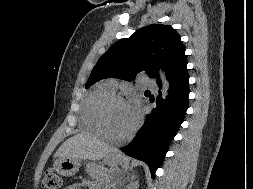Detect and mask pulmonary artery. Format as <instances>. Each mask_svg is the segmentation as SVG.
<instances>
[{"mask_svg": "<svg viewBox=\"0 0 253 189\" xmlns=\"http://www.w3.org/2000/svg\"><path fill=\"white\" fill-rule=\"evenodd\" d=\"M143 82H144V85L148 88H155L156 87V83L153 79H150L148 77H144L143 78ZM108 85L113 89L115 90V88L117 87V82L112 80V81H109L108 82Z\"/></svg>", "mask_w": 253, "mask_h": 189, "instance_id": "e3ab8cb5", "label": "pulmonary artery"}]
</instances>
